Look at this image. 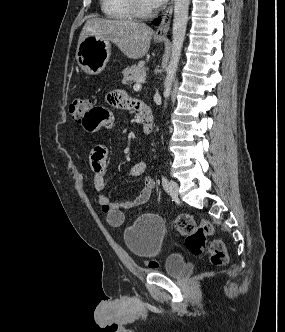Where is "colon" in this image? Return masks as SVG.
I'll list each match as a JSON object with an SVG mask.
<instances>
[{
    "label": "colon",
    "instance_id": "5ec220e1",
    "mask_svg": "<svg viewBox=\"0 0 285 332\" xmlns=\"http://www.w3.org/2000/svg\"><path fill=\"white\" fill-rule=\"evenodd\" d=\"M90 106H93L91 101L86 99H78L72 102L70 114L73 120L79 122L78 116L84 115V111H90ZM175 227L179 233L185 236L186 247L192 254H202L207 248L213 265H223L228 261V254L223 241L214 240L207 247V237L213 233V226L208 220L202 219L197 223L193 216L182 214L176 218ZM148 264L152 268L158 266V262L154 260L149 261Z\"/></svg>",
    "mask_w": 285,
    "mask_h": 332
}]
</instances>
